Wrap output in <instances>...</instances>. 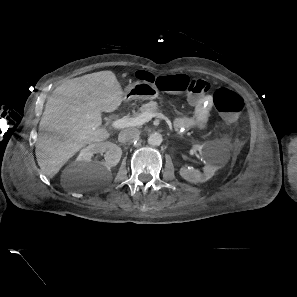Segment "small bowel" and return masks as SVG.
Segmentation results:
<instances>
[{
    "label": "small bowel",
    "mask_w": 297,
    "mask_h": 297,
    "mask_svg": "<svg viewBox=\"0 0 297 297\" xmlns=\"http://www.w3.org/2000/svg\"><path fill=\"white\" fill-rule=\"evenodd\" d=\"M190 103L195 107L194 116L178 118L175 121V127L179 131L203 130L209 122L210 111L213 106L211 96L207 95L198 99L191 98Z\"/></svg>",
    "instance_id": "small-bowel-1"
}]
</instances>
